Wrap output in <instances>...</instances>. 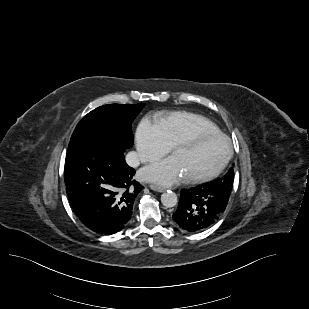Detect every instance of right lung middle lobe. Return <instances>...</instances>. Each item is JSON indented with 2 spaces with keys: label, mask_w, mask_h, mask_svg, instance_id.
Segmentation results:
<instances>
[{
  "label": "right lung middle lobe",
  "mask_w": 309,
  "mask_h": 309,
  "mask_svg": "<svg viewBox=\"0 0 309 309\" xmlns=\"http://www.w3.org/2000/svg\"><path fill=\"white\" fill-rule=\"evenodd\" d=\"M145 104H109L100 106L88 113L76 126L71 139L88 134L108 135L126 148L133 145L131 124Z\"/></svg>",
  "instance_id": "obj_1"
}]
</instances>
